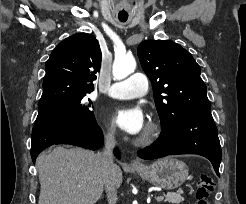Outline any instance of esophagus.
<instances>
[{
    "label": "esophagus",
    "mask_w": 246,
    "mask_h": 204,
    "mask_svg": "<svg viewBox=\"0 0 246 204\" xmlns=\"http://www.w3.org/2000/svg\"><path fill=\"white\" fill-rule=\"evenodd\" d=\"M130 163H131V165L133 167H139V166H141V163L138 160H131Z\"/></svg>",
    "instance_id": "esophagus-1"
}]
</instances>
